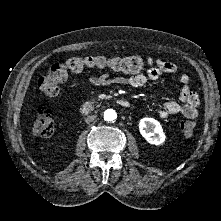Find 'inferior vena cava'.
<instances>
[{
    "label": "inferior vena cava",
    "instance_id": "obj_1",
    "mask_svg": "<svg viewBox=\"0 0 221 221\" xmlns=\"http://www.w3.org/2000/svg\"><path fill=\"white\" fill-rule=\"evenodd\" d=\"M96 119V115H89L85 118V122L86 123H91L92 121H94Z\"/></svg>",
    "mask_w": 221,
    "mask_h": 221
}]
</instances>
